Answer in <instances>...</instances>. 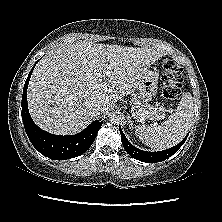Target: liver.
Instances as JSON below:
<instances>
[{"label":"liver","instance_id":"liver-1","mask_svg":"<svg viewBox=\"0 0 222 222\" xmlns=\"http://www.w3.org/2000/svg\"><path fill=\"white\" fill-rule=\"evenodd\" d=\"M165 53L151 48L79 42L61 44L36 65L28 86L34 122L57 135L84 129L91 108L107 110L138 88L142 75Z\"/></svg>","mask_w":222,"mask_h":222}]
</instances>
